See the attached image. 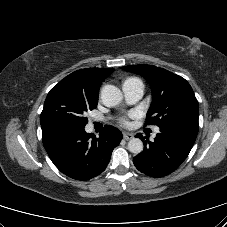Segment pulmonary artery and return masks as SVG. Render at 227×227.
<instances>
[{
    "mask_svg": "<svg viewBox=\"0 0 227 227\" xmlns=\"http://www.w3.org/2000/svg\"><path fill=\"white\" fill-rule=\"evenodd\" d=\"M122 90L126 101L132 104L137 102L143 96L144 85L142 81H140L139 79L129 78L123 83ZM158 132H159V128H156L155 133H158Z\"/></svg>",
    "mask_w": 227,
    "mask_h": 227,
    "instance_id": "pulmonary-artery-1",
    "label": "pulmonary artery"
}]
</instances>
